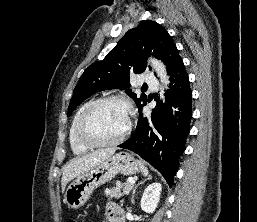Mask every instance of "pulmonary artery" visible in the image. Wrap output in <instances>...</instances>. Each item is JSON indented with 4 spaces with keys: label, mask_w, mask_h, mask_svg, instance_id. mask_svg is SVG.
<instances>
[{
    "label": "pulmonary artery",
    "mask_w": 257,
    "mask_h": 222,
    "mask_svg": "<svg viewBox=\"0 0 257 222\" xmlns=\"http://www.w3.org/2000/svg\"><path fill=\"white\" fill-rule=\"evenodd\" d=\"M144 83H146L149 87L152 88H156L159 84L154 76L147 73L144 74Z\"/></svg>",
    "instance_id": "pulmonary-artery-1"
}]
</instances>
